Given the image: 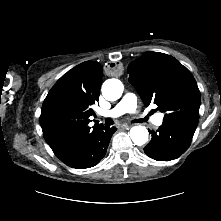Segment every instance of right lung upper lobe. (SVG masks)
<instances>
[{"label":"right lung upper lobe","instance_id":"right-lung-upper-lobe-1","mask_svg":"<svg viewBox=\"0 0 221 221\" xmlns=\"http://www.w3.org/2000/svg\"><path fill=\"white\" fill-rule=\"evenodd\" d=\"M102 66L83 62L63 75L49 91L41 110L40 125L54 154L62 159L77 149L95 130L89 127L91 106L98 102Z\"/></svg>","mask_w":221,"mask_h":221}]
</instances>
